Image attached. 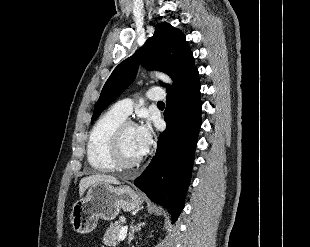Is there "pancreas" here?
<instances>
[{"label": "pancreas", "mask_w": 310, "mask_h": 247, "mask_svg": "<svg viewBox=\"0 0 310 247\" xmlns=\"http://www.w3.org/2000/svg\"><path fill=\"white\" fill-rule=\"evenodd\" d=\"M123 227V224L116 222L111 224L110 227L106 230L105 236L103 237V243L106 246L116 247L119 244L120 239V230Z\"/></svg>", "instance_id": "pancreas-1"}]
</instances>
